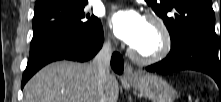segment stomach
<instances>
[{"label": "stomach", "mask_w": 221, "mask_h": 102, "mask_svg": "<svg viewBox=\"0 0 221 102\" xmlns=\"http://www.w3.org/2000/svg\"><path fill=\"white\" fill-rule=\"evenodd\" d=\"M129 84L153 102H173L177 97L175 89L157 75H141L136 80H129Z\"/></svg>", "instance_id": "stomach-1"}]
</instances>
